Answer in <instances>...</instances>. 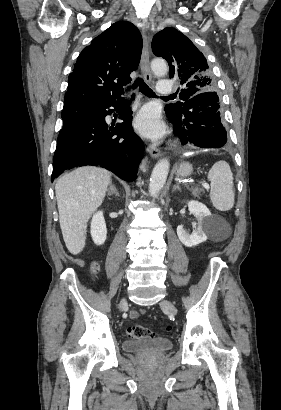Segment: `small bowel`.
I'll list each match as a JSON object with an SVG mask.
<instances>
[{
	"instance_id": "obj_1",
	"label": "small bowel",
	"mask_w": 281,
	"mask_h": 410,
	"mask_svg": "<svg viewBox=\"0 0 281 410\" xmlns=\"http://www.w3.org/2000/svg\"><path fill=\"white\" fill-rule=\"evenodd\" d=\"M133 316H134V317L137 316V312H134V313H133Z\"/></svg>"
}]
</instances>
